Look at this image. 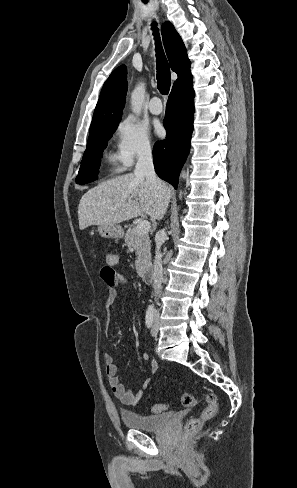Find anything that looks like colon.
Segmentation results:
<instances>
[{
	"mask_svg": "<svg viewBox=\"0 0 297 488\" xmlns=\"http://www.w3.org/2000/svg\"><path fill=\"white\" fill-rule=\"evenodd\" d=\"M100 276L104 281V283L110 286L114 282L115 271L113 270L112 266L105 263V265L100 270ZM203 399L206 403V406L198 417L191 419L187 423L186 425L187 432H196L200 430L208 420L212 419L216 415L218 411V400L215 394L208 393L204 396ZM181 402L184 406L190 407V406H195L199 402V400L195 396L189 393H183L181 397ZM166 409H167V405L163 403L157 404L152 407V411L154 413H160L165 411Z\"/></svg>",
	"mask_w": 297,
	"mask_h": 488,
	"instance_id": "colon-1",
	"label": "colon"
}]
</instances>
